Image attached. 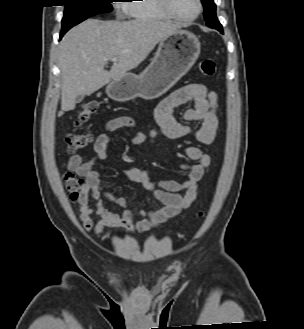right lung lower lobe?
I'll list each match as a JSON object with an SVG mask.
<instances>
[{"instance_id": "right-lung-lower-lobe-1", "label": "right lung lower lobe", "mask_w": 304, "mask_h": 329, "mask_svg": "<svg viewBox=\"0 0 304 329\" xmlns=\"http://www.w3.org/2000/svg\"><path fill=\"white\" fill-rule=\"evenodd\" d=\"M64 34H65L64 32H61V34H60V38H62V36H63Z\"/></svg>"}]
</instances>
